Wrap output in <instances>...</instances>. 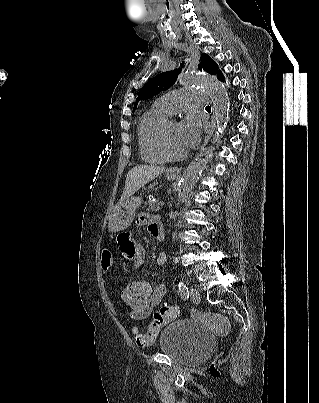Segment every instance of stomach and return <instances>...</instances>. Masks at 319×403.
Segmentation results:
<instances>
[{
    "mask_svg": "<svg viewBox=\"0 0 319 403\" xmlns=\"http://www.w3.org/2000/svg\"><path fill=\"white\" fill-rule=\"evenodd\" d=\"M168 180H174L176 175L167 174ZM142 200L140 197H131L125 202L118 204L112 210L109 221L108 228L112 232H119L128 228L134 217L136 209L141 205Z\"/></svg>",
    "mask_w": 319,
    "mask_h": 403,
    "instance_id": "1",
    "label": "stomach"
}]
</instances>
